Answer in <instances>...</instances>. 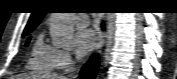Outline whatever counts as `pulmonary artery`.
<instances>
[{"mask_svg":"<svg viewBox=\"0 0 177 79\" xmlns=\"http://www.w3.org/2000/svg\"><path fill=\"white\" fill-rule=\"evenodd\" d=\"M72 22L75 25L87 26L89 23V16L87 14H77L73 16Z\"/></svg>","mask_w":177,"mask_h":79,"instance_id":"obj_1","label":"pulmonary artery"}]
</instances>
